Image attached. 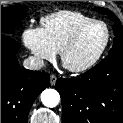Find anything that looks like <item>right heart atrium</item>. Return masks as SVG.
Instances as JSON below:
<instances>
[{"label":"right heart atrium","instance_id":"obj_1","mask_svg":"<svg viewBox=\"0 0 123 123\" xmlns=\"http://www.w3.org/2000/svg\"><path fill=\"white\" fill-rule=\"evenodd\" d=\"M22 42L38 61L52 60L56 55L41 28L33 26L25 28L22 33Z\"/></svg>","mask_w":123,"mask_h":123}]
</instances>
